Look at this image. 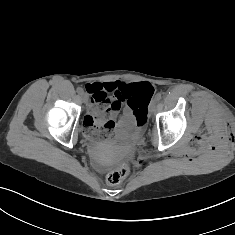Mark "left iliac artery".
<instances>
[{"instance_id":"1","label":"left iliac artery","mask_w":235,"mask_h":235,"mask_svg":"<svg viewBox=\"0 0 235 235\" xmlns=\"http://www.w3.org/2000/svg\"><path fill=\"white\" fill-rule=\"evenodd\" d=\"M156 101H159L161 99V93H157L154 98Z\"/></svg>"}]
</instances>
